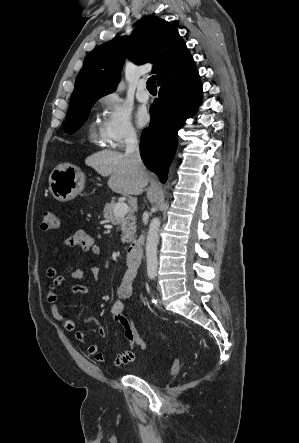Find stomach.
<instances>
[{
    "mask_svg": "<svg viewBox=\"0 0 299 443\" xmlns=\"http://www.w3.org/2000/svg\"><path fill=\"white\" fill-rule=\"evenodd\" d=\"M85 186V175L80 168L64 164L57 166L49 176V189L60 202L74 199Z\"/></svg>",
    "mask_w": 299,
    "mask_h": 443,
    "instance_id": "1",
    "label": "stomach"
}]
</instances>
